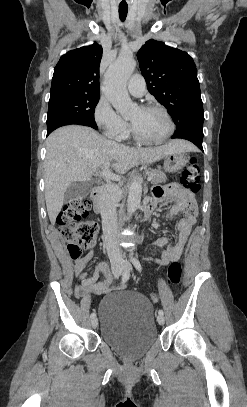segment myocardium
I'll return each instance as SVG.
<instances>
[{"instance_id":"obj_1","label":"myocardium","mask_w":247,"mask_h":407,"mask_svg":"<svg viewBox=\"0 0 247 407\" xmlns=\"http://www.w3.org/2000/svg\"><path fill=\"white\" fill-rule=\"evenodd\" d=\"M140 108L144 109V110H157V111L161 112L167 120L168 131L162 138H160L158 140H147V139L142 138L137 133L133 124L131 122H129V132H130L131 136L133 137V139L142 145H159V144H162L165 141H167L172 136V134L174 133V130H175L174 121H173L170 113L168 112V110L165 107L158 105V104L141 105Z\"/></svg>"}]
</instances>
